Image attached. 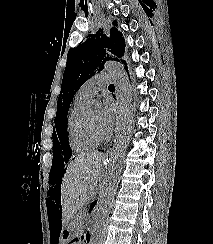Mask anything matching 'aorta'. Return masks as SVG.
I'll return each instance as SVG.
<instances>
[{
  "mask_svg": "<svg viewBox=\"0 0 213 244\" xmlns=\"http://www.w3.org/2000/svg\"><path fill=\"white\" fill-rule=\"evenodd\" d=\"M105 70L115 79L119 108L108 172L103 180L99 198L94 209V227L91 244H104L107 232V220L113 207L115 193L122 174L129 135L132 131L131 83L126 77L124 68L120 63L107 61L105 63ZM91 107L94 110H99L101 105L98 101L93 100Z\"/></svg>",
  "mask_w": 213,
  "mask_h": 244,
  "instance_id": "aorta-1",
  "label": "aorta"
}]
</instances>
